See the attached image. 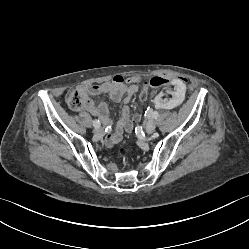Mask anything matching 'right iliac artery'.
Wrapping results in <instances>:
<instances>
[{"label": "right iliac artery", "mask_w": 249, "mask_h": 249, "mask_svg": "<svg viewBox=\"0 0 249 249\" xmlns=\"http://www.w3.org/2000/svg\"><path fill=\"white\" fill-rule=\"evenodd\" d=\"M93 126H94V127H100V122H99V120L95 119V120L93 121Z\"/></svg>", "instance_id": "obj_1"}]
</instances>
